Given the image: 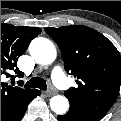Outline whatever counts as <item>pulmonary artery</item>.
Masks as SVG:
<instances>
[{"mask_svg": "<svg viewBox=\"0 0 121 121\" xmlns=\"http://www.w3.org/2000/svg\"><path fill=\"white\" fill-rule=\"evenodd\" d=\"M52 79L53 82L62 90H66L68 88L67 78L60 67H55L52 71Z\"/></svg>", "mask_w": 121, "mask_h": 121, "instance_id": "obj_1", "label": "pulmonary artery"}]
</instances>
